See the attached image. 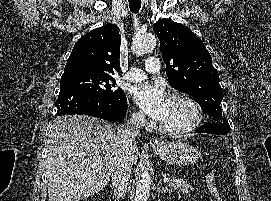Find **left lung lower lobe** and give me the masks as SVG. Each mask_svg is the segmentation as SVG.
<instances>
[{
  "label": "left lung lower lobe",
  "mask_w": 271,
  "mask_h": 201,
  "mask_svg": "<svg viewBox=\"0 0 271 201\" xmlns=\"http://www.w3.org/2000/svg\"><path fill=\"white\" fill-rule=\"evenodd\" d=\"M198 133L222 134V128L209 123L195 130Z\"/></svg>",
  "instance_id": "0a47b994"
}]
</instances>
